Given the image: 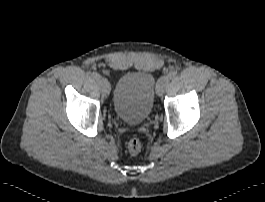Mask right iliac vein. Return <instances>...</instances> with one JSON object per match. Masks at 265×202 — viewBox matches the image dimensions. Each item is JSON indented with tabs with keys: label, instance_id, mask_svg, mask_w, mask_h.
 Masks as SVG:
<instances>
[{
	"label": "right iliac vein",
	"instance_id": "63e3f726",
	"mask_svg": "<svg viewBox=\"0 0 265 202\" xmlns=\"http://www.w3.org/2000/svg\"><path fill=\"white\" fill-rule=\"evenodd\" d=\"M97 83H98V86L100 87L102 93L104 95H108L109 92H110V84H109V82L105 78L100 77L97 80Z\"/></svg>",
	"mask_w": 265,
	"mask_h": 202
}]
</instances>
